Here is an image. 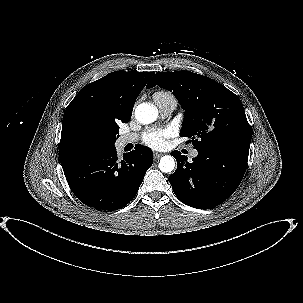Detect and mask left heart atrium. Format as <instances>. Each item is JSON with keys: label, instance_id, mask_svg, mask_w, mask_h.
Instances as JSON below:
<instances>
[{"label": "left heart atrium", "instance_id": "39dd6f15", "mask_svg": "<svg viewBox=\"0 0 303 303\" xmlns=\"http://www.w3.org/2000/svg\"><path fill=\"white\" fill-rule=\"evenodd\" d=\"M173 135L172 128H153L144 133L143 142L153 149H161L167 145V139Z\"/></svg>", "mask_w": 303, "mask_h": 303}]
</instances>
